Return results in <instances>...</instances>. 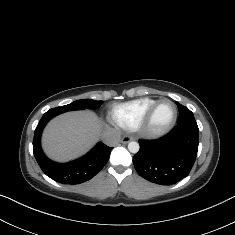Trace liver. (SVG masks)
Segmentation results:
<instances>
[{"mask_svg": "<svg viewBox=\"0 0 235 235\" xmlns=\"http://www.w3.org/2000/svg\"><path fill=\"white\" fill-rule=\"evenodd\" d=\"M100 129L101 123L93 112L66 113L52 120L45 129L44 150L58 161L73 159L95 143Z\"/></svg>", "mask_w": 235, "mask_h": 235, "instance_id": "liver-1", "label": "liver"}]
</instances>
